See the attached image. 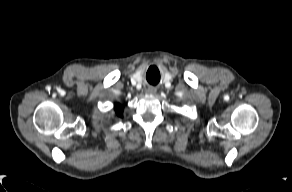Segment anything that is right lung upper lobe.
<instances>
[{
	"instance_id": "obj_1",
	"label": "right lung upper lobe",
	"mask_w": 292,
	"mask_h": 192,
	"mask_svg": "<svg viewBox=\"0 0 292 192\" xmlns=\"http://www.w3.org/2000/svg\"><path fill=\"white\" fill-rule=\"evenodd\" d=\"M123 106L121 104H115L114 106V110H115V113H116V116L117 117H122V114H123Z\"/></svg>"
}]
</instances>
